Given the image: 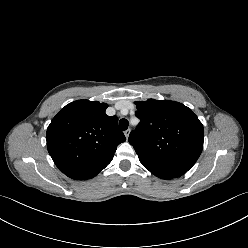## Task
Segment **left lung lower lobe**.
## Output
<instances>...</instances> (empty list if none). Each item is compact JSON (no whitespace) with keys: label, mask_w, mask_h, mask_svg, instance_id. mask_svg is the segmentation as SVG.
Masks as SVG:
<instances>
[{"label":"left lung lower lobe","mask_w":248,"mask_h":248,"mask_svg":"<svg viewBox=\"0 0 248 248\" xmlns=\"http://www.w3.org/2000/svg\"><path fill=\"white\" fill-rule=\"evenodd\" d=\"M159 178H162V179H171L170 177H159Z\"/></svg>","instance_id":"1"}]
</instances>
